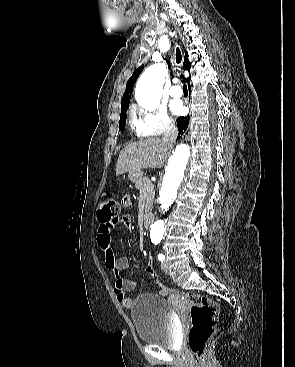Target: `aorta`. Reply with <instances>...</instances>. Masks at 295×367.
I'll return each mask as SVG.
<instances>
[{"instance_id": "obj_1", "label": "aorta", "mask_w": 295, "mask_h": 367, "mask_svg": "<svg viewBox=\"0 0 295 367\" xmlns=\"http://www.w3.org/2000/svg\"><path fill=\"white\" fill-rule=\"evenodd\" d=\"M166 68L163 64H155L146 69L137 82L135 97L140 106L154 110L160 103V93L163 86ZM190 161V148L187 144L176 146L162 179L159 191V201L162 212L168 210L175 200L187 178ZM165 232V222L158 220L150 226V236L153 242H160Z\"/></svg>"}]
</instances>
